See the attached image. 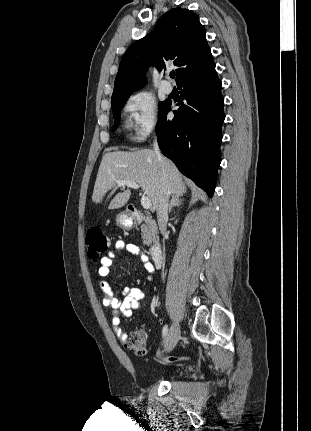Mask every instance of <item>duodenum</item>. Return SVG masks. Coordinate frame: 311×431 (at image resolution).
<instances>
[{
  "label": "duodenum",
  "mask_w": 311,
  "mask_h": 431,
  "mask_svg": "<svg viewBox=\"0 0 311 431\" xmlns=\"http://www.w3.org/2000/svg\"><path fill=\"white\" fill-rule=\"evenodd\" d=\"M127 215L133 221L139 222L144 218L142 212L133 205L127 207ZM150 257L155 265H159L161 262V247L159 243H154L149 249Z\"/></svg>",
  "instance_id": "duodenum-1"
}]
</instances>
